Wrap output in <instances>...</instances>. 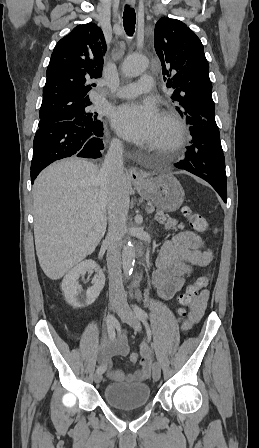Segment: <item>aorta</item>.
Returning a JSON list of instances; mask_svg holds the SVG:
<instances>
[{"label":"aorta","mask_w":259,"mask_h":448,"mask_svg":"<svg viewBox=\"0 0 259 448\" xmlns=\"http://www.w3.org/2000/svg\"><path fill=\"white\" fill-rule=\"evenodd\" d=\"M148 61L142 55H129L125 58L122 66L123 73L128 77L141 75L147 68ZM135 263V246L129 241L122 251V268L124 275L128 277L133 272Z\"/></svg>","instance_id":"762f6f07"}]
</instances>
